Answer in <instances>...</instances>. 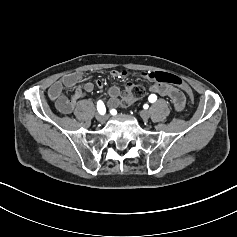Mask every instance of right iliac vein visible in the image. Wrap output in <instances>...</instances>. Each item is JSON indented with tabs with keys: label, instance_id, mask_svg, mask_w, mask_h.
Listing matches in <instances>:
<instances>
[{
	"label": "right iliac vein",
	"instance_id": "obj_1",
	"mask_svg": "<svg viewBox=\"0 0 237 237\" xmlns=\"http://www.w3.org/2000/svg\"><path fill=\"white\" fill-rule=\"evenodd\" d=\"M96 119L100 122L103 123L106 120V116L105 115H101V114H97L96 115Z\"/></svg>",
	"mask_w": 237,
	"mask_h": 237
}]
</instances>
